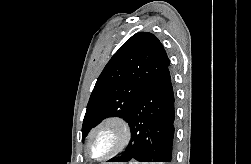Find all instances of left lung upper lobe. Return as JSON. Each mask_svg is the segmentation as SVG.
<instances>
[{"mask_svg":"<svg viewBox=\"0 0 251 164\" xmlns=\"http://www.w3.org/2000/svg\"><path fill=\"white\" fill-rule=\"evenodd\" d=\"M169 64L155 35L139 32L129 38L97 79L84 116L83 137L105 117L118 116L127 121L144 88Z\"/></svg>","mask_w":251,"mask_h":164,"instance_id":"obj_1","label":"left lung upper lobe"}]
</instances>
